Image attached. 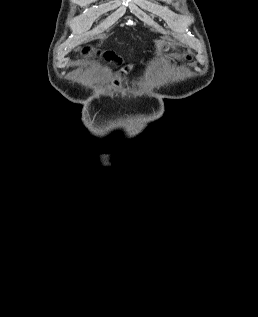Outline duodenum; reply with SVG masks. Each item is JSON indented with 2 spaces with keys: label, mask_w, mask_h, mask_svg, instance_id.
<instances>
[{
  "label": "duodenum",
  "mask_w": 258,
  "mask_h": 317,
  "mask_svg": "<svg viewBox=\"0 0 258 317\" xmlns=\"http://www.w3.org/2000/svg\"><path fill=\"white\" fill-rule=\"evenodd\" d=\"M130 73H131L130 67H125L119 70L114 77L113 86L115 87L124 86L129 80Z\"/></svg>",
  "instance_id": "obj_1"
}]
</instances>
